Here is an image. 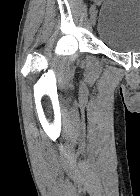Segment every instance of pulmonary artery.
<instances>
[{
	"mask_svg": "<svg viewBox=\"0 0 140 196\" xmlns=\"http://www.w3.org/2000/svg\"><path fill=\"white\" fill-rule=\"evenodd\" d=\"M55 192H74V191H55Z\"/></svg>",
	"mask_w": 140,
	"mask_h": 196,
	"instance_id": "pulmonary-artery-1",
	"label": "pulmonary artery"
}]
</instances>
